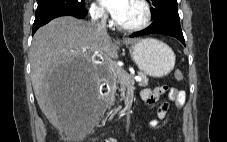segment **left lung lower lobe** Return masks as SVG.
Listing matches in <instances>:
<instances>
[{
	"label": "left lung lower lobe",
	"mask_w": 227,
	"mask_h": 142,
	"mask_svg": "<svg viewBox=\"0 0 227 142\" xmlns=\"http://www.w3.org/2000/svg\"><path fill=\"white\" fill-rule=\"evenodd\" d=\"M148 34H164L177 38L185 45V40L183 37V33L180 25H174L170 23H162V24H152L146 29L135 32L130 37H136L140 35H148Z\"/></svg>",
	"instance_id": "obj_1"
}]
</instances>
